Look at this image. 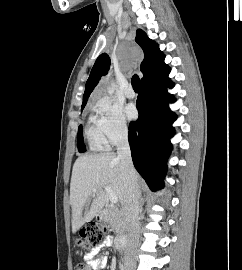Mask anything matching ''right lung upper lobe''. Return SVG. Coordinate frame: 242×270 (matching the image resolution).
<instances>
[{
  "instance_id": "right-lung-upper-lobe-1",
  "label": "right lung upper lobe",
  "mask_w": 242,
  "mask_h": 270,
  "mask_svg": "<svg viewBox=\"0 0 242 270\" xmlns=\"http://www.w3.org/2000/svg\"><path fill=\"white\" fill-rule=\"evenodd\" d=\"M135 41L140 45L144 51V60L141 63L140 70L143 73L141 82L145 80L147 76L155 72L160 68L164 62V55L159 50L158 45L148 38L146 33L141 29L136 32ZM110 67V59L107 54L100 55L90 73V76L86 82L85 92L83 96L82 107L86 105L89 95L97 85L101 76L105 75Z\"/></svg>"
}]
</instances>
